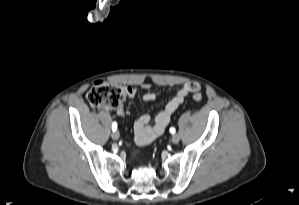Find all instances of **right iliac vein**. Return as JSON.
<instances>
[{"instance_id": "right-iliac-vein-1", "label": "right iliac vein", "mask_w": 299, "mask_h": 205, "mask_svg": "<svg viewBox=\"0 0 299 205\" xmlns=\"http://www.w3.org/2000/svg\"><path fill=\"white\" fill-rule=\"evenodd\" d=\"M111 136H112L113 140H118L119 139V133L117 131H113Z\"/></svg>"}]
</instances>
